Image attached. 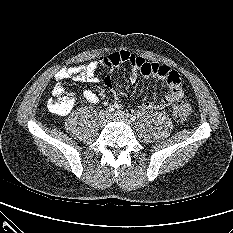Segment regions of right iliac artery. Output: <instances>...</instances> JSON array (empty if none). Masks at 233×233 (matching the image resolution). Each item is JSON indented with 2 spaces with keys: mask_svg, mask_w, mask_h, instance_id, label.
Listing matches in <instances>:
<instances>
[{
  "mask_svg": "<svg viewBox=\"0 0 233 233\" xmlns=\"http://www.w3.org/2000/svg\"><path fill=\"white\" fill-rule=\"evenodd\" d=\"M115 110V107L114 106H109L107 108V112H113Z\"/></svg>",
  "mask_w": 233,
  "mask_h": 233,
  "instance_id": "right-iliac-artery-1",
  "label": "right iliac artery"
}]
</instances>
